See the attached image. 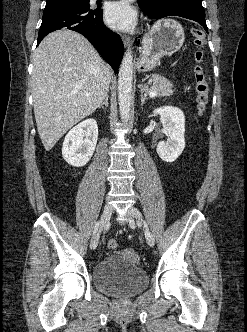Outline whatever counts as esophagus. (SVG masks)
I'll return each mask as SVG.
<instances>
[{"instance_id":"1","label":"esophagus","mask_w":247,"mask_h":332,"mask_svg":"<svg viewBox=\"0 0 247 332\" xmlns=\"http://www.w3.org/2000/svg\"><path fill=\"white\" fill-rule=\"evenodd\" d=\"M122 41L125 47H129L132 44L131 38L128 36H122Z\"/></svg>"}]
</instances>
